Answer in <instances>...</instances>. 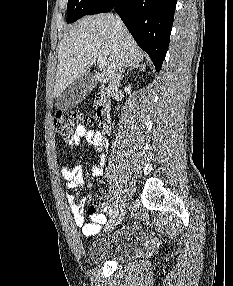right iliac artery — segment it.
Returning a JSON list of instances; mask_svg holds the SVG:
<instances>
[{
    "mask_svg": "<svg viewBox=\"0 0 233 286\" xmlns=\"http://www.w3.org/2000/svg\"><path fill=\"white\" fill-rule=\"evenodd\" d=\"M118 208V201H114L111 206L109 207V215L114 216Z\"/></svg>",
    "mask_w": 233,
    "mask_h": 286,
    "instance_id": "1",
    "label": "right iliac artery"
}]
</instances>
